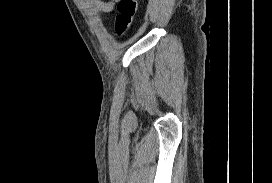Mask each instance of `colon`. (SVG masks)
I'll use <instances>...</instances> for the list:
<instances>
[{
  "label": "colon",
  "mask_w": 272,
  "mask_h": 183,
  "mask_svg": "<svg viewBox=\"0 0 272 183\" xmlns=\"http://www.w3.org/2000/svg\"><path fill=\"white\" fill-rule=\"evenodd\" d=\"M138 10L137 0H118L117 17H116V32L123 34L129 28L134 16Z\"/></svg>",
  "instance_id": "obj_1"
}]
</instances>
